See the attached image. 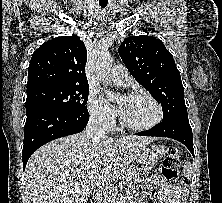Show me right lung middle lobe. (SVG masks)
Here are the masks:
<instances>
[{
  "label": "right lung middle lobe",
  "mask_w": 222,
  "mask_h": 203,
  "mask_svg": "<svg viewBox=\"0 0 222 203\" xmlns=\"http://www.w3.org/2000/svg\"><path fill=\"white\" fill-rule=\"evenodd\" d=\"M88 93L87 85H56L28 90L26 114L44 108L87 111Z\"/></svg>",
  "instance_id": "right-lung-middle-lobe-1"
}]
</instances>
